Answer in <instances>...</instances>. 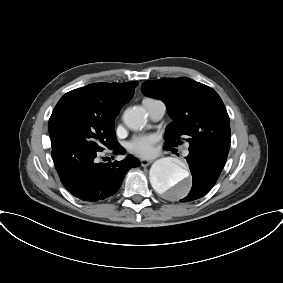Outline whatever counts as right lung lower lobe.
I'll use <instances>...</instances> for the list:
<instances>
[{"instance_id":"right-lung-lower-lobe-1","label":"right lung lower lobe","mask_w":283,"mask_h":283,"mask_svg":"<svg viewBox=\"0 0 283 283\" xmlns=\"http://www.w3.org/2000/svg\"><path fill=\"white\" fill-rule=\"evenodd\" d=\"M110 149L117 154L121 146L117 143ZM98 154L99 151L86 148L62 160L53 159L63 185L83 201L97 202L114 195L126 172L140 165L131 155L120 162L97 163Z\"/></svg>"}]
</instances>
